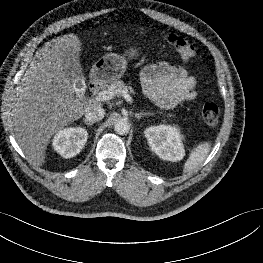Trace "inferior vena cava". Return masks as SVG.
<instances>
[{"label": "inferior vena cava", "instance_id": "inferior-vena-cava-1", "mask_svg": "<svg viewBox=\"0 0 263 263\" xmlns=\"http://www.w3.org/2000/svg\"><path fill=\"white\" fill-rule=\"evenodd\" d=\"M104 114L105 111L101 105L93 104L85 111V118L87 121L94 123L103 119Z\"/></svg>", "mask_w": 263, "mask_h": 263}]
</instances>
